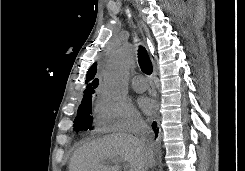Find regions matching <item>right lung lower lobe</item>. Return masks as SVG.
Instances as JSON below:
<instances>
[{"mask_svg": "<svg viewBox=\"0 0 245 171\" xmlns=\"http://www.w3.org/2000/svg\"><path fill=\"white\" fill-rule=\"evenodd\" d=\"M152 127H153V129H154V131H155V134L157 135L158 132H157V130H156V123H155V122H153Z\"/></svg>", "mask_w": 245, "mask_h": 171, "instance_id": "right-lung-lower-lobe-1", "label": "right lung lower lobe"}]
</instances>
